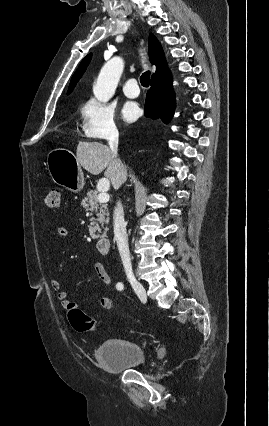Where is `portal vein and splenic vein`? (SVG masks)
Here are the masks:
<instances>
[{
  "mask_svg": "<svg viewBox=\"0 0 269 426\" xmlns=\"http://www.w3.org/2000/svg\"><path fill=\"white\" fill-rule=\"evenodd\" d=\"M109 189V185L105 187L97 196V200L100 203H106L109 201V194L107 193V190Z\"/></svg>",
  "mask_w": 269,
  "mask_h": 426,
  "instance_id": "18ae733b",
  "label": "portal vein and splenic vein"
}]
</instances>
